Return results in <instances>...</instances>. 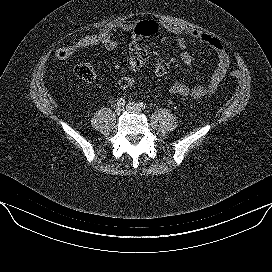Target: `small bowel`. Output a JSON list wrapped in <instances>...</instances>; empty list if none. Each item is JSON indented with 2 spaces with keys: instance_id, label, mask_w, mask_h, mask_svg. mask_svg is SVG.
<instances>
[{
  "instance_id": "small-bowel-1",
  "label": "small bowel",
  "mask_w": 272,
  "mask_h": 272,
  "mask_svg": "<svg viewBox=\"0 0 272 272\" xmlns=\"http://www.w3.org/2000/svg\"><path fill=\"white\" fill-rule=\"evenodd\" d=\"M137 24L132 21L119 22L115 25H107L101 29V32L113 38L116 49L119 46V41L116 40L113 36V31L118 29L123 32H133L134 37L129 45V53H128V64L132 70H138L141 68L149 59V52L146 47H144L140 41L139 36L135 33ZM162 28L169 34L177 36L176 45L182 49L179 56L180 59L187 65H193L195 62V57L184 49L187 48V39L186 37H191L207 46H209L217 56V64L215 69L213 70L209 81L207 84L197 85V86H188L181 82H174L169 87V92L173 95L178 96H187L192 99L198 100L207 95L213 94L222 79L225 77L226 72L229 68V56L222 44V42L203 31L190 29L184 27L182 25L173 23V22H162ZM168 41L167 37H163L161 39L162 43H166ZM111 49V50H113Z\"/></svg>"
}]
</instances>
